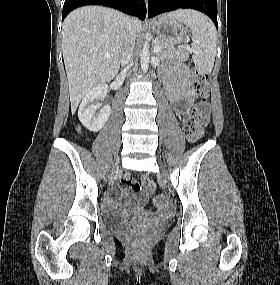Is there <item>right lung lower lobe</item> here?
I'll use <instances>...</instances> for the list:
<instances>
[{
    "label": "right lung lower lobe",
    "instance_id": "obj_1",
    "mask_svg": "<svg viewBox=\"0 0 280 285\" xmlns=\"http://www.w3.org/2000/svg\"><path fill=\"white\" fill-rule=\"evenodd\" d=\"M85 5H103L123 11L124 13L144 20L146 17V4L144 0H65L62 21L75 8Z\"/></svg>",
    "mask_w": 280,
    "mask_h": 285
}]
</instances>
